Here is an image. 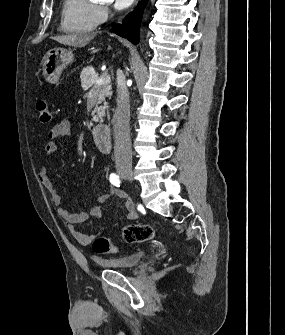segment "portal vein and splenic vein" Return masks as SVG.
Returning a JSON list of instances; mask_svg holds the SVG:
<instances>
[{"label":"portal vein and splenic vein","instance_id":"portal-vein-and-splenic-vein-1","mask_svg":"<svg viewBox=\"0 0 285 335\" xmlns=\"http://www.w3.org/2000/svg\"><path fill=\"white\" fill-rule=\"evenodd\" d=\"M110 76H100L98 80H96L95 84H109Z\"/></svg>","mask_w":285,"mask_h":335}]
</instances>
